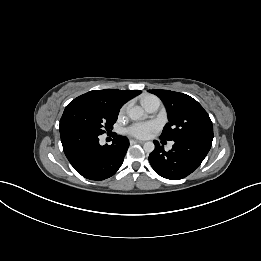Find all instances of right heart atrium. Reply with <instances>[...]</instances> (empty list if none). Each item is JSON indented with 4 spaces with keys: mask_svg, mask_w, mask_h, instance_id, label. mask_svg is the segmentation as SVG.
I'll return each mask as SVG.
<instances>
[{
    "mask_svg": "<svg viewBox=\"0 0 261 261\" xmlns=\"http://www.w3.org/2000/svg\"><path fill=\"white\" fill-rule=\"evenodd\" d=\"M125 108H126V107H125V106H123V107H122V109H121V112H124Z\"/></svg>",
    "mask_w": 261,
    "mask_h": 261,
    "instance_id": "obj_1",
    "label": "right heart atrium"
}]
</instances>
